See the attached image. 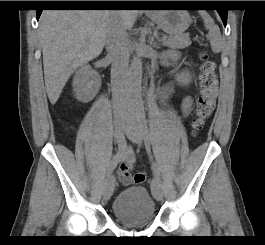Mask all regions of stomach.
Returning a JSON list of instances; mask_svg holds the SVG:
<instances>
[{
    "label": "stomach",
    "mask_w": 265,
    "mask_h": 245,
    "mask_svg": "<svg viewBox=\"0 0 265 245\" xmlns=\"http://www.w3.org/2000/svg\"><path fill=\"white\" fill-rule=\"evenodd\" d=\"M150 17L158 27L172 36L183 35L191 23L186 10H157Z\"/></svg>",
    "instance_id": "stomach-1"
}]
</instances>
